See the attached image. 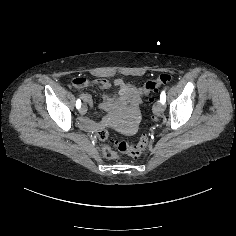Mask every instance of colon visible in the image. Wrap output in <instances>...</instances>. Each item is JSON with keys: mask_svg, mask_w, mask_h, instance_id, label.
Listing matches in <instances>:
<instances>
[{"mask_svg": "<svg viewBox=\"0 0 236 236\" xmlns=\"http://www.w3.org/2000/svg\"><path fill=\"white\" fill-rule=\"evenodd\" d=\"M171 80L172 75L170 73H162L157 78L149 80L145 83L143 88V94L145 96H149L151 93L158 91V89L162 85L169 83ZM72 82L76 87L79 88H83L91 84V81L89 79L82 76H77L73 78ZM97 82L106 83L107 81L105 79H100L97 80ZM98 137L103 144L104 155L108 159L117 158V154L113 150V146H115L121 153L130 155L132 157H138L145 152L150 140L149 135L143 134L137 144H132L127 141H121L112 145L109 141L108 132L104 129L99 131Z\"/></svg>", "mask_w": 236, "mask_h": 236, "instance_id": "colon-1", "label": "colon"}]
</instances>
